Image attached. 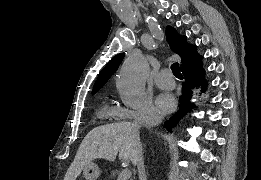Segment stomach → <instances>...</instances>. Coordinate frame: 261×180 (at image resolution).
Masks as SVG:
<instances>
[{"label":"stomach","instance_id":"stomach-1","mask_svg":"<svg viewBox=\"0 0 261 180\" xmlns=\"http://www.w3.org/2000/svg\"><path fill=\"white\" fill-rule=\"evenodd\" d=\"M83 175L86 180H96L100 175V169L96 164L91 162L83 169Z\"/></svg>","mask_w":261,"mask_h":180}]
</instances>
